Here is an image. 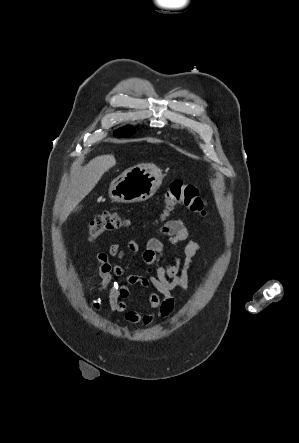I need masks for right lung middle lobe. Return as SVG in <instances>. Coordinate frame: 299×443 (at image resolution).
<instances>
[{
	"mask_svg": "<svg viewBox=\"0 0 299 443\" xmlns=\"http://www.w3.org/2000/svg\"><path fill=\"white\" fill-rule=\"evenodd\" d=\"M133 132H134V130L132 128L126 127V128L118 129L115 132V135L118 137H127V136H130L131 134H133Z\"/></svg>",
	"mask_w": 299,
	"mask_h": 443,
	"instance_id": "dd1d6c3e",
	"label": "right lung middle lobe"
}]
</instances>
